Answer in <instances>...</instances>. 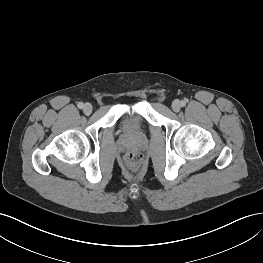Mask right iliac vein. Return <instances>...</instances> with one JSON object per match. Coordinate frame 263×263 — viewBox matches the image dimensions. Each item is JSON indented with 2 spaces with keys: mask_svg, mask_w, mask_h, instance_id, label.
Segmentation results:
<instances>
[{
  "mask_svg": "<svg viewBox=\"0 0 263 263\" xmlns=\"http://www.w3.org/2000/svg\"><path fill=\"white\" fill-rule=\"evenodd\" d=\"M92 105L90 103H86L84 106H83V112L86 114V115H90L92 113Z\"/></svg>",
  "mask_w": 263,
  "mask_h": 263,
  "instance_id": "right-iliac-vein-1",
  "label": "right iliac vein"
}]
</instances>
